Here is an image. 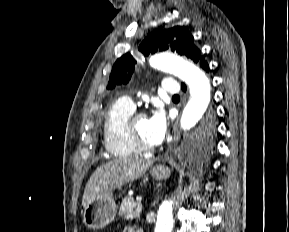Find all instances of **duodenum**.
<instances>
[{"instance_id":"1","label":"duodenum","mask_w":289,"mask_h":232,"mask_svg":"<svg viewBox=\"0 0 289 232\" xmlns=\"http://www.w3.org/2000/svg\"><path fill=\"white\" fill-rule=\"evenodd\" d=\"M139 232H143L141 229H139Z\"/></svg>"}]
</instances>
